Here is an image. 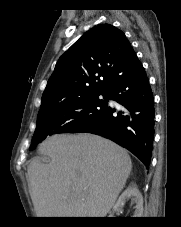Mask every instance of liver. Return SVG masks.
<instances>
[{"label":"liver","mask_w":181,"mask_h":227,"mask_svg":"<svg viewBox=\"0 0 181 227\" xmlns=\"http://www.w3.org/2000/svg\"><path fill=\"white\" fill-rule=\"evenodd\" d=\"M39 150L51 161L28 167L37 217H105L132 170L125 149L93 134L54 135Z\"/></svg>","instance_id":"6515ba94"}]
</instances>
